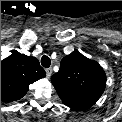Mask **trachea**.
<instances>
[{
	"instance_id": "1",
	"label": "trachea",
	"mask_w": 122,
	"mask_h": 122,
	"mask_svg": "<svg viewBox=\"0 0 122 122\" xmlns=\"http://www.w3.org/2000/svg\"><path fill=\"white\" fill-rule=\"evenodd\" d=\"M41 64H42V66L43 67H45V68H48V67H50V59L48 58V57H46V56H44L42 59H41Z\"/></svg>"
}]
</instances>
